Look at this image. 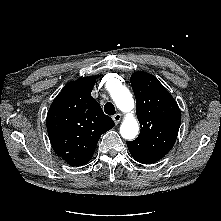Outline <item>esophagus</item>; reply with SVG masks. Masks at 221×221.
<instances>
[{
  "label": "esophagus",
  "instance_id": "esophagus-1",
  "mask_svg": "<svg viewBox=\"0 0 221 221\" xmlns=\"http://www.w3.org/2000/svg\"><path fill=\"white\" fill-rule=\"evenodd\" d=\"M121 119H122V115H121L120 113L115 114V115L113 116V120H114L115 124H119V122L121 121Z\"/></svg>",
  "mask_w": 221,
  "mask_h": 221
}]
</instances>
